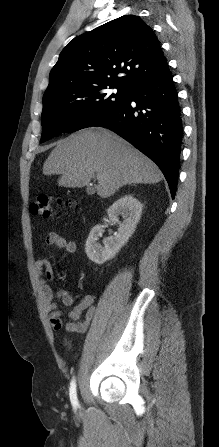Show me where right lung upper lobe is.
Masks as SVG:
<instances>
[{"label": "right lung upper lobe", "mask_w": 219, "mask_h": 447, "mask_svg": "<svg viewBox=\"0 0 219 447\" xmlns=\"http://www.w3.org/2000/svg\"><path fill=\"white\" fill-rule=\"evenodd\" d=\"M168 70L153 30L125 15L75 37L60 53L43 97L84 94L104 85L134 90ZM119 73L123 76L118 77Z\"/></svg>", "instance_id": "1"}]
</instances>
